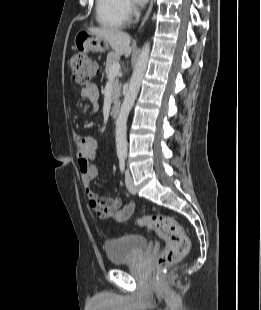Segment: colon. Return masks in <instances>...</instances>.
<instances>
[{
	"label": "colon",
	"mask_w": 261,
	"mask_h": 310,
	"mask_svg": "<svg viewBox=\"0 0 261 310\" xmlns=\"http://www.w3.org/2000/svg\"><path fill=\"white\" fill-rule=\"evenodd\" d=\"M72 78L77 85H86L97 74L98 65L83 53L74 54L70 60ZM139 226L154 230L165 241L157 260L159 267L179 261L187 254L190 241L182 225L173 217L155 214L140 217Z\"/></svg>",
	"instance_id": "5ec220e1"
}]
</instances>
